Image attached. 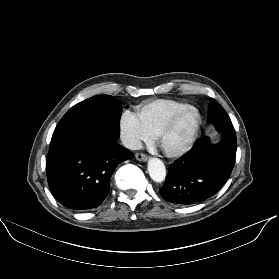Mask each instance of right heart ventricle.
Listing matches in <instances>:
<instances>
[{"label":"right heart ventricle","instance_id":"1","mask_svg":"<svg viewBox=\"0 0 279 279\" xmlns=\"http://www.w3.org/2000/svg\"><path fill=\"white\" fill-rule=\"evenodd\" d=\"M189 105L172 99H156L138 105L136 115L148 134L155 137L173 113Z\"/></svg>","mask_w":279,"mask_h":279}]
</instances>
